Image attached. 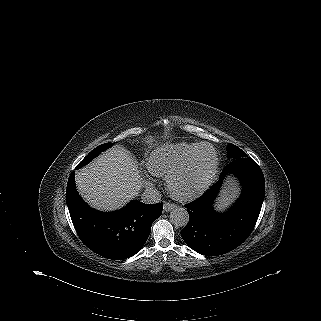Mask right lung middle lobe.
Returning a JSON list of instances; mask_svg holds the SVG:
<instances>
[{
	"label": "right lung middle lobe",
	"mask_w": 321,
	"mask_h": 321,
	"mask_svg": "<svg viewBox=\"0 0 321 321\" xmlns=\"http://www.w3.org/2000/svg\"><path fill=\"white\" fill-rule=\"evenodd\" d=\"M112 143H105L102 144L95 149H93L77 166V168H81L82 166L89 163L93 158H95L98 154H100L102 151L108 149Z\"/></svg>",
	"instance_id": "obj_1"
}]
</instances>
